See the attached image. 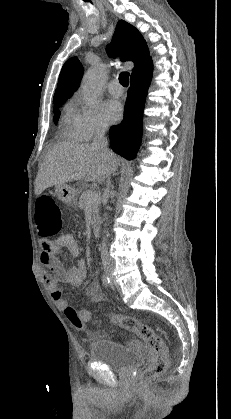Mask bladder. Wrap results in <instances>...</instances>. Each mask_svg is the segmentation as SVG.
Wrapping results in <instances>:
<instances>
[{
    "label": "bladder",
    "mask_w": 231,
    "mask_h": 419,
    "mask_svg": "<svg viewBox=\"0 0 231 419\" xmlns=\"http://www.w3.org/2000/svg\"><path fill=\"white\" fill-rule=\"evenodd\" d=\"M90 358L118 373H128L145 362L141 353L109 339L94 341L90 347Z\"/></svg>",
    "instance_id": "obj_1"
}]
</instances>
